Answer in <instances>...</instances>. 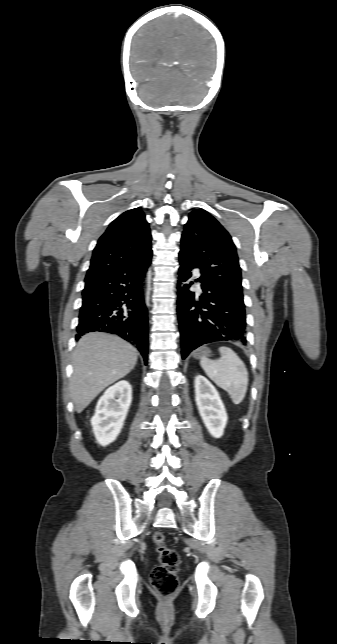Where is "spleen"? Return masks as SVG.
Wrapping results in <instances>:
<instances>
[{
	"instance_id": "1",
	"label": "spleen",
	"mask_w": 337,
	"mask_h": 644,
	"mask_svg": "<svg viewBox=\"0 0 337 644\" xmlns=\"http://www.w3.org/2000/svg\"><path fill=\"white\" fill-rule=\"evenodd\" d=\"M221 357L210 360L203 356L200 365L206 375L220 388L227 391L234 404H240L247 392L248 371L244 362L228 347H220Z\"/></svg>"
}]
</instances>
